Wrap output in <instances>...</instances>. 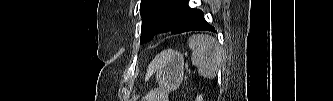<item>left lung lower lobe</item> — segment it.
Wrapping results in <instances>:
<instances>
[{"label":"left lung lower lobe","instance_id":"1","mask_svg":"<svg viewBox=\"0 0 333 101\" xmlns=\"http://www.w3.org/2000/svg\"><path fill=\"white\" fill-rule=\"evenodd\" d=\"M177 5L181 7L185 14L181 19L179 26L172 33L178 34L193 30L213 31L214 28L207 23L203 17L201 10L192 9L188 6V0H175Z\"/></svg>","mask_w":333,"mask_h":101}]
</instances>
